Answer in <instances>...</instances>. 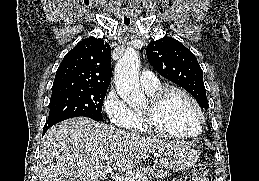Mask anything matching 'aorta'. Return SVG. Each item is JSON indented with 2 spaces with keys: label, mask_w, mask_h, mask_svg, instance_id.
<instances>
[{
  "label": "aorta",
  "mask_w": 259,
  "mask_h": 181,
  "mask_svg": "<svg viewBox=\"0 0 259 181\" xmlns=\"http://www.w3.org/2000/svg\"><path fill=\"white\" fill-rule=\"evenodd\" d=\"M139 66L138 52L131 48L125 51L115 66L114 79L117 93L132 108L140 107L146 101L139 85Z\"/></svg>",
  "instance_id": "obj_1"
}]
</instances>
